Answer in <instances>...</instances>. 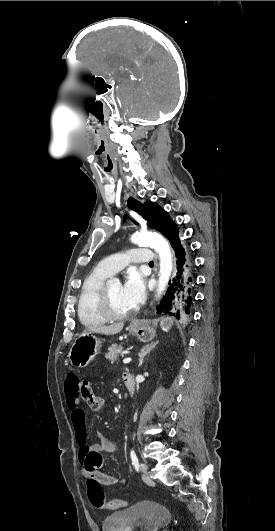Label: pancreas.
<instances>
[{
  "label": "pancreas",
  "mask_w": 275,
  "mask_h": 531,
  "mask_svg": "<svg viewBox=\"0 0 275 531\" xmlns=\"http://www.w3.org/2000/svg\"><path fill=\"white\" fill-rule=\"evenodd\" d=\"M123 347L121 345H111L108 349V353H105V359H108V361H111L112 365L117 361V357H119L120 353H122Z\"/></svg>",
  "instance_id": "obj_1"
}]
</instances>
